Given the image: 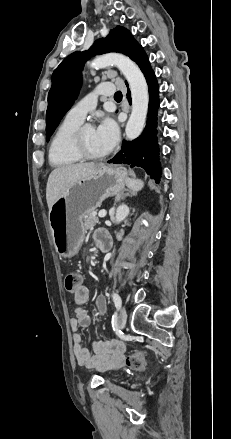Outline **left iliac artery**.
Instances as JSON below:
<instances>
[{
  "instance_id": "1",
  "label": "left iliac artery",
  "mask_w": 231,
  "mask_h": 439,
  "mask_svg": "<svg viewBox=\"0 0 231 439\" xmlns=\"http://www.w3.org/2000/svg\"><path fill=\"white\" fill-rule=\"evenodd\" d=\"M112 298H113V302L115 304V307L119 310L121 308V304H122L120 296L117 293H113Z\"/></svg>"
}]
</instances>
